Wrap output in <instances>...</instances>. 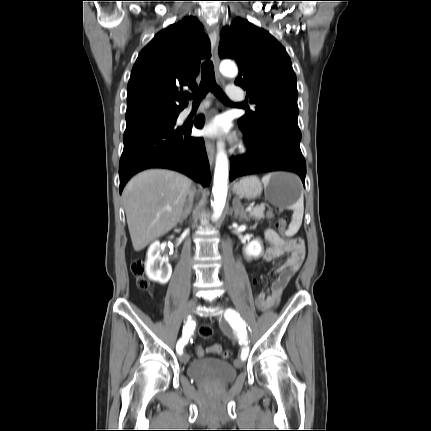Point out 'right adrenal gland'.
Wrapping results in <instances>:
<instances>
[{
  "label": "right adrenal gland",
  "instance_id": "right-adrenal-gland-1",
  "mask_svg": "<svg viewBox=\"0 0 431 431\" xmlns=\"http://www.w3.org/2000/svg\"><path fill=\"white\" fill-rule=\"evenodd\" d=\"M192 206H193V197H190L189 204L188 206H185L184 211L182 213L180 223H182L188 217V215L192 210Z\"/></svg>",
  "mask_w": 431,
  "mask_h": 431
}]
</instances>
